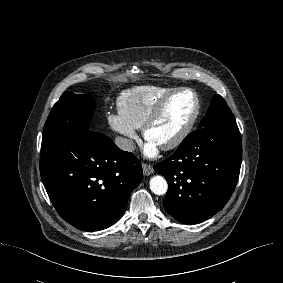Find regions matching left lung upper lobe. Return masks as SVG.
<instances>
[{
    "label": "left lung upper lobe",
    "mask_w": 283,
    "mask_h": 283,
    "mask_svg": "<svg viewBox=\"0 0 283 283\" xmlns=\"http://www.w3.org/2000/svg\"><path fill=\"white\" fill-rule=\"evenodd\" d=\"M226 123H235V118L225 100L220 95H215L199 128Z\"/></svg>",
    "instance_id": "1"
}]
</instances>
